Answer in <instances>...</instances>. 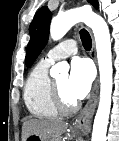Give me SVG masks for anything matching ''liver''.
<instances>
[{
	"label": "liver",
	"instance_id": "6515ba94",
	"mask_svg": "<svg viewBox=\"0 0 119 141\" xmlns=\"http://www.w3.org/2000/svg\"><path fill=\"white\" fill-rule=\"evenodd\" d=\"M68 124L60 120L47 119H28L23 123L22 141H25L27 136L36 133L41 135H61L65 133Z\"/></svg>",
	"mask_w": 119,
	"mask_h": 141
}]
</instances>
